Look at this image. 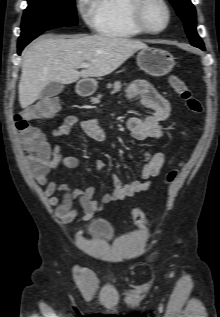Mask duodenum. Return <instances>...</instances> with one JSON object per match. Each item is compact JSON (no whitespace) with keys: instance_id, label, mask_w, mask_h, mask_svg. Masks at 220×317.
Instances as JSON below:
<instances>
[{"instance_id":"duodenum-1","label":"duodenum","mask_w":220,"mask_h":317,"mask_svg":"<svg viewBox=\"0 0 220 317\" xmlns=\"http://www.w3.org/2000/svg\"><path fill=\"white\" fill-rule=\"evenodd\" d=\"M76 90L80 96H87L91 91V87L83 82H79Z\"/></svg>"}]
</instances>
